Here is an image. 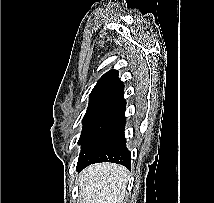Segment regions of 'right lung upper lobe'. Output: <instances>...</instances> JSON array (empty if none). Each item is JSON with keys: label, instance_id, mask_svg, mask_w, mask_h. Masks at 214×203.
<instances>
[{"label": "right lung upper lobe", "instance_id": "cb5924a9", "mask_svg": "<svg viewBox=\"0 0 214 203\" xmlns=\"http://www.w3.org/2000/svg\"><path fill=\"white\" fill-rule=\"evenodd\" d=\"M124 96L123 82L118 78V71L111 69L105 73L93 88L90 98H111L117 100Z\"/></svg>", "mask_w": 214, "mask_h": 203}]
</instances>
